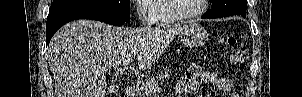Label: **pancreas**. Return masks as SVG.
I'll return each instance as SVG.
<instances>
[{
    "label": "pancreas",
    "instance_id": "obj_1",
    "mask_svg": "<svg viewBox=\"0 0 302 97\" xmlns=\"http://www.w3.org/2000/svg\"><path fill=\"white\" fill-rule=\"evenodd\" d=\"M170 69L166 68L164 72L157 73L156 77H151L146 80L139 89L140 97H152L159 85L163 83L164 80L170 78Z\"/></svg>",
    "mask_w": 302,
    "mask_h": 97
}]
</instances>
